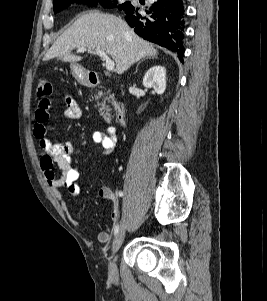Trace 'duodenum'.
Wrapping results in <instances>:
<instances>
[{
	"label": "duodenum",
	"instance_id": "410a0bca",
	"mask_svg": "<svg viewBox=\"0 0 267 301\" xmlns=\"http://www.w3.org/2000/svg\"><path fill=\"white\" fill-rule=\"evenodd\" d=\"M86 83L89 87H96L100 83V78L96 75H89L86 77ZM126 121V111L125 106L122 102L118 103V107L116 109V122L119 125H124Z\"/></svg>",
	"mask_w": 267,
	"mask_h": 301
}]
</instances>
